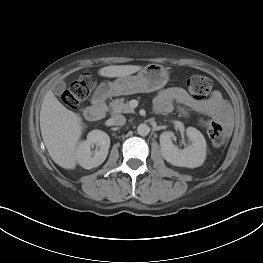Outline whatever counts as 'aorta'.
<instances>
[{
	"label": "aorta",
	"mask_w": 263,
	"mask_h": 263,
	"mask_svg": "<svg viewBox=\"0 0 263 263\" xmlns=\"http://www.w3.org/2000/svg\"><path fill=\"white\" fill-rule=\"evenodd\" d=\"M150 132V128L147 124L145 123H142L140 124L138 127H137V133L140 135V136H147Z\"/></svg>",
	"instance_id": "obj_1"
}]
</instances>
